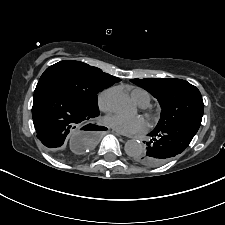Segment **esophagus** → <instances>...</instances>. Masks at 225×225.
<instances>
[{
  "label": "esophagus",
  "instance_id": "1",
  "mask_svg": "<svg viewBox=\"0 0 225 225\" xmlns=\"http://www.w3.org/2000/svg\"><path fill=\"white\" fill-rule=\"evenodd\" d=\"M117 135H119V136H122V134L121 133H119V132H117V131H114Z\"/></svg>",
  "mask_w": 225,
  "mask_h": 225
}]
</instances>
